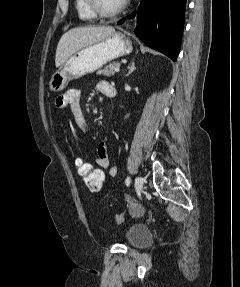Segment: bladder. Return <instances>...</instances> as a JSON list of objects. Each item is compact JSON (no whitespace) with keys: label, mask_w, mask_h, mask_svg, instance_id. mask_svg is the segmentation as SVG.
<instances>
[{"label":"bladder","mask_w":240,"mask_h":287,"mask_svg":"<svg viewBox=\"0 0 240 287\" xmlns=\"http://www.w3.org/2000/svg\"><path fill=\"white\" fill-rule=\"evenodd\" d=\"M152 241L151 230L143 224L134 223L126 231V243L134 248L147 246Z\"/></svg>","instance_id":"1"}]
</instances>
